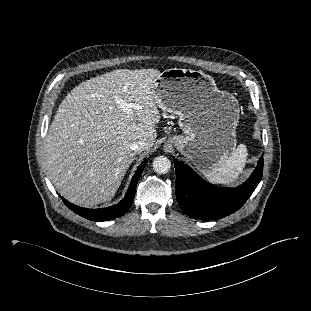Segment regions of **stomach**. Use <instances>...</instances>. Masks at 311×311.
Masks as SVG:
<instances>
[{
    "mask_svg": "<svg viewBox=\"0 0 311 311\" xmlns=\"http://www.w3.org/2000/svg\"><path fill=\"white\" fill-rule=\"evenodd\" d=\"M153 89L157 106L178 115L183 131L168 142L198 170L219 166L235 150L239 104L233 95L218 90L211 76L171 68L158 75Z\"/></svg>",
    "mask_w": 311,
    "mask_h": 311,
    "instance_id": "1",
    "label": "stomach"
}]
</instances>
